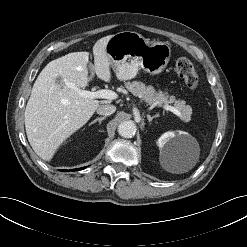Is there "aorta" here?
<instances>
[{
  "instance_id": "obj_1",
  "label": "aorta",
  "mask_w": 247,
  "mask_h": 247,
  "mask_svg": "<svg viewBox=\"0 0 247 247\" xmlns=\"http://www.w3.org/2000/svg\"><path fill=\"white\" fill-rule=\"evenodd\" d=\"M136 125L133 121H123L118 126V133L124 138H131L135 135Z\"/></svg>"
}]
</instances>
